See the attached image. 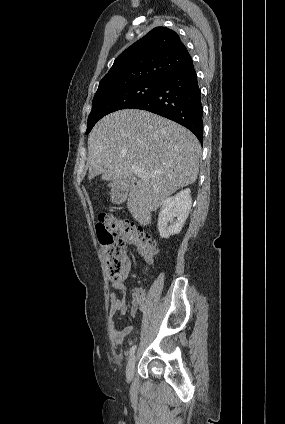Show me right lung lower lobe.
Segmentation results:
<instances>
[{"label": "right lung lower lobe", "instance_id": "98d812e1", "mask_svg": "<svg viewBox=\"0 0 285 424\" xmlns=\"http://www.w3.org/2000/svg\"><path fill=\"white\" fill-rule=\"evenodd\" d=\"M131 108L147 110L173 120L189 129L203 142L201 92L193 63L165 80L154 94Z\"/></svg>", "mask_w": 285, "mask_h": 424}]
</instances>
